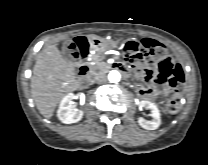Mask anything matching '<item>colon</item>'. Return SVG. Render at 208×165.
Instances as JSON below:
<instances>
[{"label": "colon", "mask_w": 208, "mask_h": 165, "mask_svg": "<svg viewBox=\"0 0 208 165\" xmlns=\"http://www.w3.org/2000/svg\"><path fill=\"white\" fill-rule=\"evenodd\" d=\"M69 54L76 55L84 51V43H70L67 46ZM126 57L136 65H147L151 58L159 61L162 57L167 56L165 46L152 39H143L141 41H128L124 46ZM157 64V65H158ZM183 89V88H182ZM182 89L173 91V95L165 102V109L169 112H175L180 107V96Z\"/></svg>", "instance_id": "obj_1"}]
</instances>
